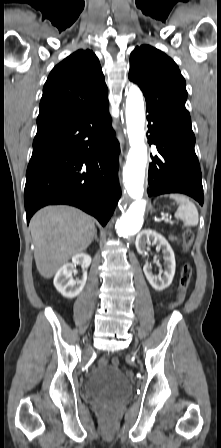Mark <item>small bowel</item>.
<instances>
[{
    "mask_svg": "<svg viewBox=\"0 0 221 448\" xmlns=\"http://www.w3.org/2000/svg\"><path fill=\"white\" fill-rule=\"evenodd\" d=\"M171 239L172 240H177V237L176 236H171Z\"/></svg>",
    "mask_w": 221,
    "mask_h": 448,
    "instance_id": "small-bowel-1",
    "label": "small bowel"
}]
</instances>
